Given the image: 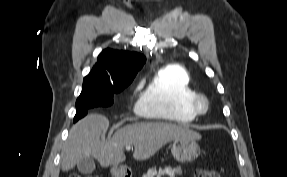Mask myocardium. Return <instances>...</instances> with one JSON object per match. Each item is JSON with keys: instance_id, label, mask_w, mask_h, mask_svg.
I'll return each mask as SVG.
<instances>
[{"instance_id": "f54148a6", "label": "myocardium", "mask_w": 287, "mask_h": 177, "mask_svg": "<svg viewBox=\"0 0 287 177\" xmlns=\"http://www.w3.org/2000/svg\"><path fill=\"white\" fill-rule=\"evenodd\" d=\"M192 106L197 114H205L210 108V102L206 95L195 94L192 99Z\"/></svg>"}]
</instances>
